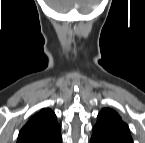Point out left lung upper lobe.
I'll return each instance as SVG.
<instances>
[{
  "instance_id": "1",
  "label": "left lung upper lobe",
  "mask_w": 145,
  "mask_h": 143,
  "mask_svg": "<svg viewBox=\"0 0 145 143\" xmlns=\"http://www.w3.org/2000/svg\"><path fill=\"white\" fill-rule=\"evenodd\" d=\"M92 137L102 143H133L127 124L109 108L102 109L98 114Z\"/></svg>"
}]
</instances>
